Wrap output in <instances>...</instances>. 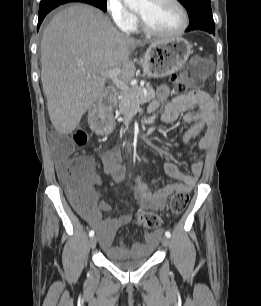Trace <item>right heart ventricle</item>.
Listing matches in <instances>:
<instances>
[{
  "label": "right heart ventricle",
  "mask_w": 261,
  "mask_h": 306,
  "mask_svg": "<svg viewBox=\"0 0 261 306\" xmlns=\"http://www.w3.org/2000/svg\"><path fill=\"white\" fill-rule=\"evenodd\" d=\"M132 31H137V27L134 25L133 28L131 29Z\"/></svg>",
  "instance_id": "obj_1"
}]
</instances>
